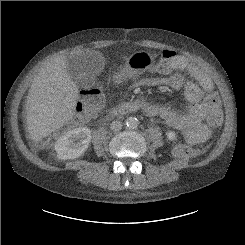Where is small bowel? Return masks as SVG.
I'll list each match as a JSON object with an SVG mask.
<instances>
[{
  "label": "small bowel",
  "instance_id": "obj_1",
  "mask_svg": "<svg viewBox=\"0 0 245 245\" xmlns=\"http://www.w3.org/2000/svg\"><path fill=\"white\" fill-rule=\"evenodd\" d=\"M168 54L171 55L167 56ZM162 58L164 60L163 69L160 70L162 76L144 79L143 83L174 90L184 87L188 106L181 113L170 104L151 105L143 110L144 113L149 116H160L169 126L182 133L190 143L208 140L212 135L210 117L214 111L221 114L219 106L214 110L204 102L205 94L208 95L214 90L211 76L189 58L173 51H163ZM180 71L187 72L193 81L184 84Z\"/></svg>",
  "mask_w": 245,
  "mask_h": 245
}]
</instances>
